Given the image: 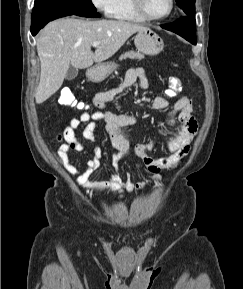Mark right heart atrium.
Here are the masks:
<instances>
[{
	"mask_svg": "<svg viewBox=\"0 0 243 289\" xmlns=\"http://www.w3.org/2000/svg\"><path fill=\"white\" fill-rule=\"evenodd\" d=\"M91 2L97 9L108 14L112 8L114 0H91Z\"/></svg>",
	"mask_w": 243,
	"mask_h": 289,
	"instance_id": "obj_1",
	"label": "right heart atrium"
}]
</instances>
